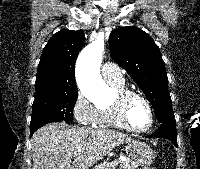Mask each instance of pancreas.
I'll return each instance as SVG.
<instances>
[{
  "instance_id": "cf45deb5",
  "label": "pancreas",
  "mask_w": 200,
  "mask_h": 169,
  "mask_svg": "<svg viewBox=\"0 0 200 169\" xmlns=\"http://www.w3.org/2000/svg\"><path fill=\"white\" fill-rule=\"evenodd\" d=\"M114 161L118 162L119 169H136L137 167V165L132 160H129V159L125 161L115 159ZM94 169H106L105 164H99Z\"/></svg>"
}]
</instances>
